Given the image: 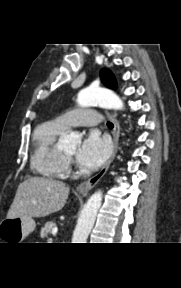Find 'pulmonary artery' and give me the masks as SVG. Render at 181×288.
I'll use <instances>...</instances> for the list:
<instances>
[{
    "label": "pulmonary artery",
    "instance_id": "obj_1",
    "mask_svg": "<svg viewBox=\"0 0 181 288\" xmlns=\"http://www.w3.org/2000/svg\"><path fill=\"white\" fill-rule=\"evenodd\" d=\"M57 121L66 129L72 127H92L99 124L98 113L94 109L80 108L60 115Z\"/></svg>",
    "mask_w": 181,
    "mask_h": 288
}]
</instances>
